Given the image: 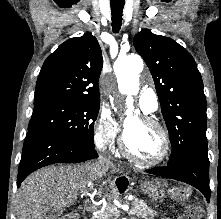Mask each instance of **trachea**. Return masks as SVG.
<instances>
[{
  "label": "trachea",
  "mask_w": 221,
  "mask_h": 219,
  "mask_svg": "<svg viewBox=\"0 0 221 219\" xmlns=\"http://www.w3.org/2000/svg\"><path fill=\"white\" fill-rule=\"evenodd\" d=\"M111 20L112 30L114 33H118L122 25V14L124 8V2H111Z\"/></svg>",
  "instance_id": "1"
}]
</instances>
